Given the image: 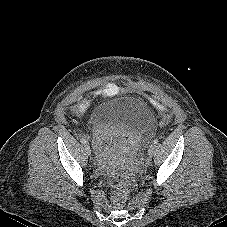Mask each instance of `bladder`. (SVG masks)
<instances>
[{
  "label": "bladder",
  "instance_id": "bladder-1",
  "mask_svg": "<svg viewBox=\"0 0 227 227\" xmlns=\"http://www.w3.org/2000/svg\"><path fill=\"white\" fill-rule=\"evenodd\" d=\"M122 102L128 105L108 101L93 107L88 116L91 130L97 131L107 126L122 127L140 139L149 138L155 131V118L152 112L135 100L127 99ZM141 148V144H138L134 152H139Z\"/></svg>",
  "mask_w": 227,
  "mask_h": 227
}]
</instances>
